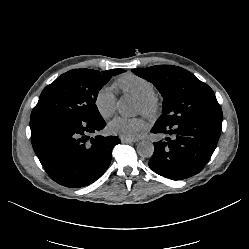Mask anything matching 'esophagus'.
I'll return each mask as SVG.
<instances>
[{"label": "esophagus", "mask_w": 249, "mask_h": 249, "mask_svg": "<svg viewBox=\"0 0 249 249\" xmlns=\"http://www.w3.org/2000/svg\"><path fill=\"white\" fill-rule=\"evenodd\" d=\"M121 142L122 143H132L134 141H133V139H130V138L121 137Z\"/></svg>", "instance_id": "esophagus-1"}]
</instances>
